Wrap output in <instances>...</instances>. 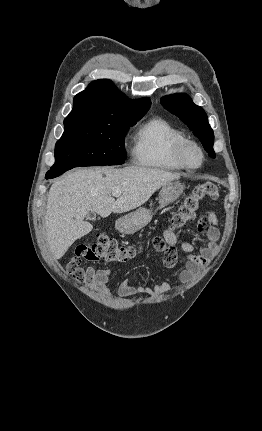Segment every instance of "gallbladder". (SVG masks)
<instances>
[{
    "label": "gallbladder",
    "mask_w": 262,
    "mask_h": 431,
    "mask_svg": "<svg viewBox=\"0 0 262 431\" xmlns=\"http://www.w3.org/2000/svg\"><path fill=\"white\" fill-rule=\"evenodd\" d=\"M87 218L89 220H95L96 219V214L93 213V212H90V213L87 214Z\"/></svg>",
    "instance_id": "obj_1"
}]
</instances>
